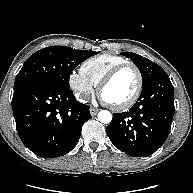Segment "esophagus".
<instances>
[{
    "instance_id": "1",
    "label": "esophagus",
    "mask_w": 193,
    "mask_h": 193,
    "mask_svg": "<svg viewBox=\"0 0 193 193\" xmlns=\"http://www.w3.org/2000/svg\"><path fill=\"white\" fill-rule=\"evenodd\" d=\"M98 111H99V109H97V108H93V107L90 108V113L92 116H95Z\"/></svg>"
}]
</instances>
